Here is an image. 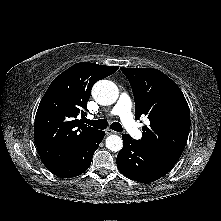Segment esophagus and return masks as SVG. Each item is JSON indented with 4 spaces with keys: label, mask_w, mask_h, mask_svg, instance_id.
<instances>
[{
    "label": "esophagus",
    "mask_w": 221,
    "mask_h": 221,
    "mask_svg": "<svg viewBox=\"0 0 221 221\" xmlns=\"http://www.w3.org/2000/svg\"><path fill=\"white\" fill-rule=\"evenodd\" d=\"M105 133H106L107 135L116 134V132L113 131V130H111V129H106V130H105Z\"/></svg>",
    "instance_id": "obj_1"
}]
</instances>
